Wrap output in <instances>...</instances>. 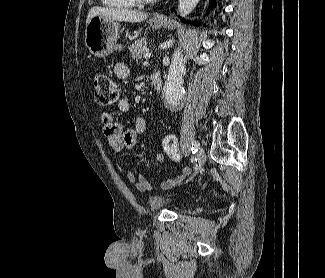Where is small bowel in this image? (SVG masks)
Wrapping results in <instances>:
<instances>
[{"label": "small bowel", "mask_w": 325, "mask_h": 278, "mask_svg": "<svg viewBox=\"0 0 325 278\" xmlns=\"http://www.w3.org/2000/svg\"><path fill=\"white\" fill-rule=\"evenodd\" d=\"M114 71L116 76L121 79H127L130 76V68L123 62L117 63L114 67ZM117 106L119 111L124 113L131 110V104L126 98H121L118 101ZM100 120L103 134L109 146L117 153L121 152L122 150L134 149L137 146L140 138L145 133L147 126L146 120L143 117L136 118L133 126L127 130H124L122 124L115 122L112 115L109 113H102ZM165 159V156L162 154H158L154 158L156 162H163ZM188 175L189 170L184 169L179 176L163 182L161 186L163 188L174 186L185 179ZM125 178L128 182L135 183L136 187L142 191L150 189L148 181L141 175L137 176L133 172H127L125 174Z\"/></svg>", "instance_id": "obj_1"}]
</instances>
